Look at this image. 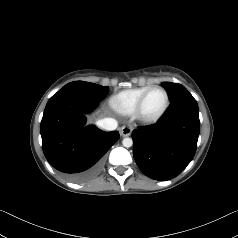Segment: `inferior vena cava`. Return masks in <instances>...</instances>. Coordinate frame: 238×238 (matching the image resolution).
<instances>
[{
  "instance_id": "obj_1",
  "label": "inferior vena cava",
  "mask_w": 238,
  "mask_h": 238,
  "mask_svg": "<svg viewBox=\"0 0 238 238\" xmlns=\"http://www.w3.org/2000/svg\"><path fill=\"white\" fill-rule=\"evenodd\" d=\"M97 126L104 130L112 131L117 128L118 123L113 118H104V119L97 121Z\"/></svg>"
}]
</instances>
